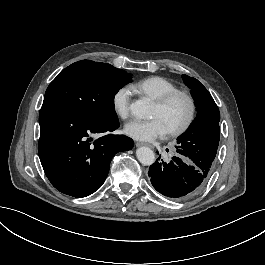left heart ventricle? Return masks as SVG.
<instances>
[{"mask_svg":"<svg viewBox=\"0 0 265 265\" xmlns=\"http://www.w3.org/2000/svg\"><path fill=\"white\" fill-rule=\"evenodd\" d=\"M187 115V103L183 99H176L164 110H159L154 104L150 118L159 119L168 131L180 127L185 122Z\"/></svg>","mask_w":265,"mask_h":265,"instance_id":"obj_1","label":"left heart ventricle"}]
</instances>
